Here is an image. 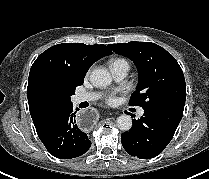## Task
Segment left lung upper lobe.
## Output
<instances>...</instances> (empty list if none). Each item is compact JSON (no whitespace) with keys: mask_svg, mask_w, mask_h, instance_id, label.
<instances>
[{"mask_svg":"<svg viewBox=\"0 0 209 179\" xmlns=\"http://www.w3.org/2000/svg\"><path fill=\"white\" fill-rule=\"evenodd\" d=\"M116 53L131 59L139 81L129 104L143 109L157 106H181L186 100V85L181 67L164 48L151 42L109 44Z\"/></svg>","mask_w":209,"mask_h":179,"instance_id":"obj_1","label":"left lung upper lobe"}]
</instances>
